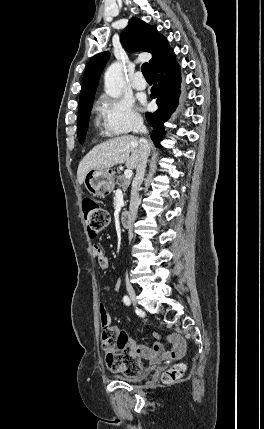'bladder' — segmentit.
I'll return each instance as SVG.
<instances>
[{
	"label": "bladder",
	"mask_w": 264,
	"mask_h": 429,
	"mask_svg": "<svg viewBox=\"0 0 264 429\" xmlns=\"http://www.w3.org/2000/svg\"><path fill=\"white\" fill-rule=\"evenodd\" d=\"M151 372H152V369H145L144 371L140 372L137 375H134V376H129V375L118 376L117 379L121 380V381H125V382H139V381H142V380L146 379L147 377H149Z\"/></svg>",
	"instance_id": "31cf9c89"
}]
</instances>
